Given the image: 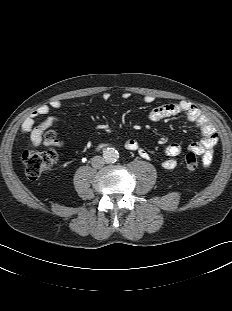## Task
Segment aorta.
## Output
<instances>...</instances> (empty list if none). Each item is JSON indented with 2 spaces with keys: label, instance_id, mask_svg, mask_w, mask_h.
<instances>
[{
  "label": "aorta",
  "instance_id": "aorta-1",
  "mask_svg": "<svg viewBox=\"0 0 232 311\" xmlns=\"http://www.w3.org/2000/svg\"><path fill=\"white\" fill-rule=\"evenodd\" d=\"M119 158V153L117 150H115L112 147H108L103 150V159L107 163H114L118 160Z\"/></svg>",
  "mask_w": 232,
  "mask_h": 311
}]
</instances>
